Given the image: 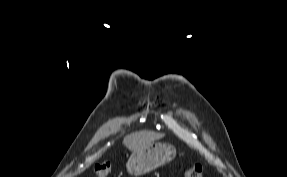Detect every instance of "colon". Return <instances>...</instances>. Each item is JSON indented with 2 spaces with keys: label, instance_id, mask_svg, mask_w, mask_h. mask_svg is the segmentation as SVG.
Here are the masks:
<instances>
[{
  "label": "colon",
  "instance_id": "1",
  "mask_svg": "<svg viewBox=\"0 0 287 177\" xmlns=\"http://www.w3.org/2000/svg\"><path fill=\"white\" fill-rule=\"evenodd\" d=\"M111 164L109 162L98 163L95 168L96 177H109ZM185 177H203V167L200 164H194L185 170Z\"/></svg>",
  "mask_w": 287,
  "mask_h": 177
}]
</instances>
